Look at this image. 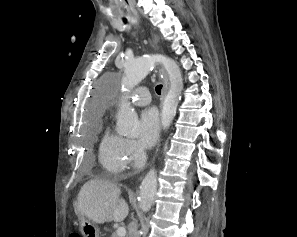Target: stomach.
<instances>
[{
	"label": "stomach",
	"instance_id": "1",
	"mask_svg": "<svg viewBox=\"0 0 297 237\" xmlns=\"http://www.w3.org/2000/svg\"><path fill=\"white\" fill-rule=\"evenodd\" d=\"M79 229L84 237H99V228L93 221L80 218Z\"/></svg>",
	"mask_w": 297,
	"mask_h": 237
}]
</instances>
